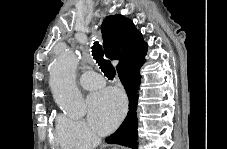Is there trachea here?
Instances as JSON below:
<instances>
[{"label": "trachea", "instance_id": "trachea-1", "mask_svg": "<svg viewBox=\"0 0 227 149\" xmlns=\"http://www.w3.org/2000/svg\"><path fill=\"white\" fill-rule=\"evenodd\" d=\"M92 55L94 56V59L100 66V69L104 73V75L108 79L112 80L116 75L115 68L108 60H105L103 58V50L98 42H94V45L92 46Z\"/></svg>", "mask_w": 227, "mask_h": 149}]
</instances>
